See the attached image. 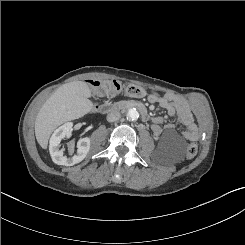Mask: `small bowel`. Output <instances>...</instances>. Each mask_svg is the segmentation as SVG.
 Segmentation results:
<instances>
[{"label": "small bowel", "mask_w": 245, "mask_h": 245, "mask_svg": "<svg viewBox=\"0 0 245 245\" xmlns=\"http://www.w3.org/2000/svg\"><path fill=\"white\" fill-rule=\"evenodd\" d=\"M149 102L158 103L162 108L166 109L170 116L177 115L178 122L186 127L183 136L189 141H197L200 138L199 128L195 122L194 116L188 104L180 97L173 93L165 95L151 94L148 97ZM163 127L173 129L174 124L166 122L162 117H154L152 124V132L155 137H160L163 133Z\"/></svg>", "instance_id": "1"}]
</instances>
